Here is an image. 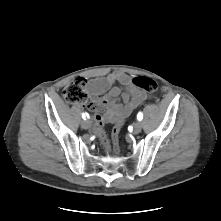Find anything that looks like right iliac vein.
<instances>
[{
    "label": "right iliac vein",
    "mask_w": 221,
    "mask_h": 221,
    "mask_svg": "<svg viewBox=\"0 0 221 221\" xmlns=\"http://www.w3.org/2000/svg\"><path fill=\"white\" fill-rule=\"evenodd\" d=\"M82 128L89 129L91 127V121L88 119H85L81 123Z\"/></svg>",
    "instance_id": "1"
}]
</instances>
